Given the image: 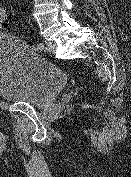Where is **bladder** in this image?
<instances>
[{
	"label": "bladder",
	"instance_id": "1",
	"mask_svg": "<svg viewBox=\"0 0 131 177\" xmlns=\"http://www.w3.org/2000/svg\"><path fill=\"white\" fill-rule=\"evenodd\" d=\"M68 83L59 68L39 58L24 43L0 36V98L43 107Z\"/></svg>",
	"mask_w": 131,
	"mask_h": 177
}]
</instances>
